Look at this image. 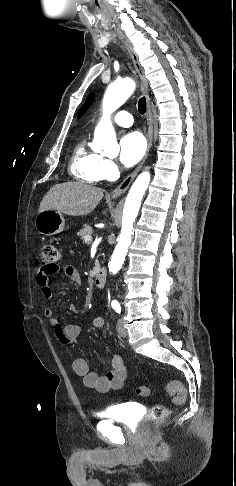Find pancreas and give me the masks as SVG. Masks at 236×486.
<instances>
[{
	"instance_id": "obj_1",
	"label": "pancreas",
	"mask_w": 236,
	"mask_h": 486,
	"mask_svg": "<svg viewBox=\"0 0 236 486\" xmlns=\"http://www.w3.org/2000/svg\"><path fill=\"white\" fill-rule=\"evenodd\" d=\"M93 233L92 227L89 225H84L83 228L78 232V236L81 240H84L85 236H91Z\"/></svg>"
}]
</instances>
